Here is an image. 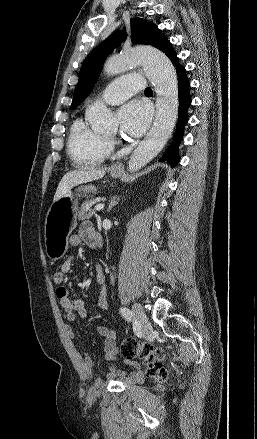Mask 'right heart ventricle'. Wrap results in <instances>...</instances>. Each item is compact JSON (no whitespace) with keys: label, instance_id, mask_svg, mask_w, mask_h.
Listing matches in <instances>:
<instances>
[{"label":"right heart ventricle","instance_id":"right-heart-ventricle-1","mask_svg":"<svg viewBox=\"0 0 257 439\" xmlns=\"http://www.w3.org/2000/svg\"><path fill=\"white\" fill-rule=\"evenodd\" d=\"M68 152L79 167H95L106 157V141L82 120L74 122L68 139Z\"/></svg>","mask_w":257,"mask_h":439}]
</instances>
